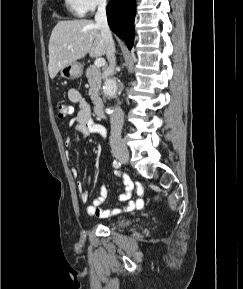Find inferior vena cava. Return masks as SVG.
I'll return each instance as SVG.
<instances>
[{
    "instance_id": "602c4592",
    "label": "inferior vena cava",
    "mask_w": 243,
    "mask_h": 289,
    "mask_svg": "<svg viewBox=\"0 0 243 289\" xmlns=\"http://www.w3.org/2000/svg\"><path fill=\"white\" fill-rule=\"evenodd\" d=\"M96 25L100 29L101 35L106 42L107 59L109 61L108 74L113 75L115 72L116 58L115 45L111 35L110 28L106 16V0H98V8L95 15ZM124 114L120 107H115L112 110L110 118L111 133L110 146L113 153L127 151L125 143L121 139V131L123 127Z\"/></svg>"
}]
</instances>
